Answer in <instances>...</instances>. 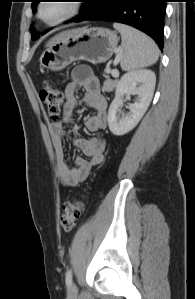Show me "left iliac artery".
<instances>
[{"label":"left iliac artery","instance_id":"44dca946","mask_svg":"<svg viewBox=\"0 0 195 299\" xmlns=\"http://www.w3.org/2000/svg\"><path fill=\"white\" fill-rule=\"evenodd\" d=\"M71 282H72V272H71V270H69L66 273V285L69 287Z\"/></svg>","mask_w":195,"mask_h":299}]
</instances>
